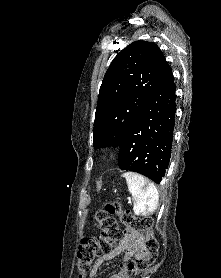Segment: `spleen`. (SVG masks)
Here are the masks:
<instances>
[{"label": "spleen", "mask_w": 221, "mask_h": 278, "mask_svg": "<svg viewBox=\"0 0 221 278\" xmlns=\"http://www.w3.org/2000/svg\"><path fill=\"white\" fill-rule=\"evenodd\" d=\"M134 199L133 211L137 216H149L155 212L159 203L156 186L143 176L126 172L122 175Z\"/></svg>", "instance_id": "3e777b00"}]
</instances>
